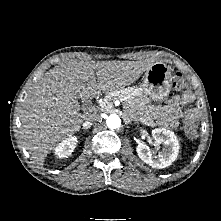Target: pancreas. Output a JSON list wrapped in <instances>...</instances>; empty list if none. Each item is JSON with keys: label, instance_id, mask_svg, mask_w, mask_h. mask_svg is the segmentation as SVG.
<instances>
[{"label": "pancreas", "instance_id": "pancreas-1", "mask_svg": "<svg viewBox=\"0 0 221 221\" xmlns=\"http://www.w3.org/2000/svg\"><path fill=\"white\" fill-rule=\"evenodd\" d=\"M138 95V89L132 87L110 92L100 103V110H110L113 107V101L115 99H120L121 101H123L125 109L138 108L140 106V104H138L139 101L136 99V96ZM140 121L144 125L155 126L154 121L150 117L141 116Z\"/></svg>", "mask_w": 221, "mask_h": 221}]
</instances>
